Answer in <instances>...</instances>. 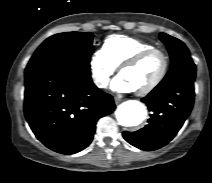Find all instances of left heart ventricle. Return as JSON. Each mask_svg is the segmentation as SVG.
Listing matches in <instances>:
<instances>
[{"label": "left heart ventricle", "instance_id": "1", "mask_svg": "<svg viewBox=\"0 0 212 183\" xmlns=\"http://www.w3.org/2000/svg\"><path fill=\"white\" fill-rule=\"evenodd\" d=\"M163 60L160 54H152L137 66L127 69L121 75L134 90L142 89L152 83L161 71Z\"/></svg>", "mask_w": 212, "mask_h": 183}]
</instances>
